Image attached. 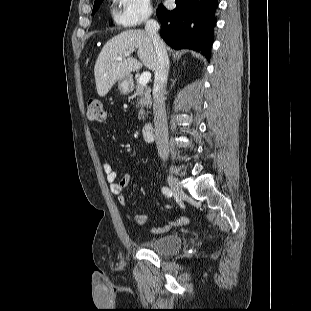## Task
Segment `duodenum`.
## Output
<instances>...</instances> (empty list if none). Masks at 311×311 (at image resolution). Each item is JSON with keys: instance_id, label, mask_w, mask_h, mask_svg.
Here are the masks:
<instances>
[{"instance_id": "1", "label": "duodenum", "mask_w": 311, "mask_h": 311, "mask_svg": "<svg viewBox=\"0 0 311 311\" xmlns=\"http://www.w3.org/2000/svg\"><path fill=\"white\" fill-rule=\"evenodd\" d=\"M142 135L146 141H151L153 138V126L150 122L146 123L142 128Z\"/></svg>"}]
</instances>
